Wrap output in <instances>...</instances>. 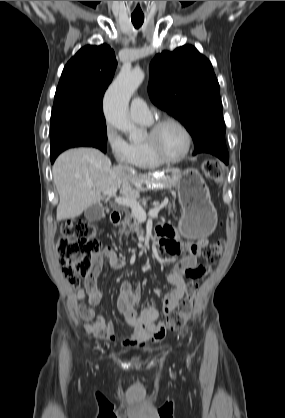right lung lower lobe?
I'll use <instances>...</instances> for the list:
<instances>
[{"label": "right lung lower lobe", "mask_w": 285, "mask_h": 418, "mask_svg": "<svg viewBox=\"0 0 285 418\" xmlns=\"http://www.w3.org/2000/svg\"><path fill=\"white\" fill-rule=\"evenodd\" d=\"M56 157L51 158V162L53 163L55 161Z\"/></svg>", "instance_id": "98d812e1"}]
</instances>
